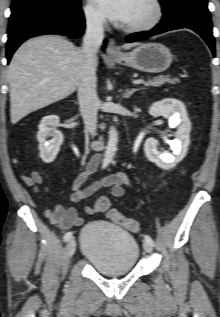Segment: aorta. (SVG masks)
<instances>
[{
	"label": "aorta",
	"instance_id": "762f6f07",
	"mask_svg": "<svg viewBox=\"0 0 220 317\" xmlns=\"http://www.w3.org/2000/svg\"><path fill=\"white\" fill-rule=\"evenodd\" d=\"M117 144H118V133L116 128L114 126H111L109 130V139H108V143H107V147H106L104 159H103V168L107 167L111 163L117 151Z\"/></svg>",
	"mask_w": 220,
	"mask_h": 317
}]
</instances>
